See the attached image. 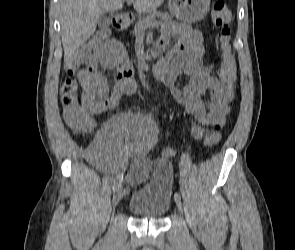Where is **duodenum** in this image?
Masks as SVG:
<instances>
[{
  "label": "duodenum",
  "mask_w": 295,
  "mask_h": 250,
  "mask_svg": "<svg viewBox=\"0 0 295 250\" xmlns=\"http://www.w3.org/2000/svg\"><path fill=\"white\" fill-rule=\"evenodd\" d=\"M131 14L129 12L123 11L119 12L114 16L113 25L117 30H125L130 24ZM155 50L153 51V53ZM130 71L128 66L123 67V72Z\"/></svg>",
  "instance_id": "1"
}]
</instances>
